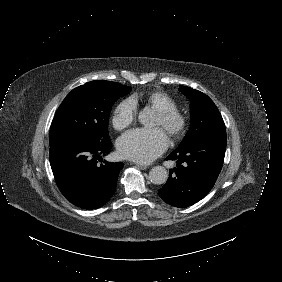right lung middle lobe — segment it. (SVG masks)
I'll return each mask as SVG.
<instances>
[{"label":"right lung middle lobe","instance_id":"obj_1","mask_svg":"<svg viewBox=\"0 0 282 282\" xmlns=\"http://www.w3.org/2000/svg\"><path fill=\"white\" fill-rule=\"evenodd\" d=\"M130 91L128 86L104 80L91 81L73 89L54 116L49 134L50 146L70 138L109 141L111 108L115 101Z\"/></svg>","mask_w":282,"mask_h":282}]
</instances>
